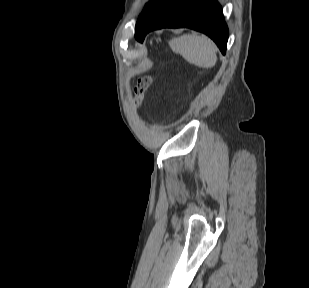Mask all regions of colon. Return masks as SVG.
<instances>
[{"mask_svg": "<svg viewBox=\"0 0 309 288\" xmlns=\"http://www.w3.org/2000/svg\"><path fill=\"white\" fill-rule=\"evenodd\" d=\"M152 83V78L149 75L142 76L137 80V84L134 90L133 104L139 106L145 96L146 91Z\"/></svg>", "mask_w": 309, "mask_h": 288, "instance_id": "obj_1", "label": "colon"}]
</instances>
